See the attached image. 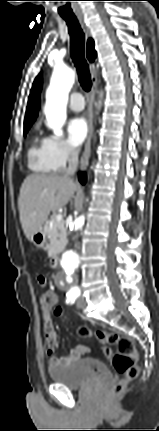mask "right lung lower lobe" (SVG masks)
I'll list each match as a JSON object with an SVG mask.
<instances>
[{"mask_svg":"<svg viewBox=\"0 0 159 431\" xmlns=\"http://www.w3.org/2000/svg\"><path fill=\"white\" fill-rule=\"evenodd\" d=\"M79 181H80L82 184H85V182H86V175H85V173H80V174H79Z\"/></svg>","mask_w":159,"mask_h":431,"instance_id":"1","label":"right lung lower lobe"}]
</instances>
